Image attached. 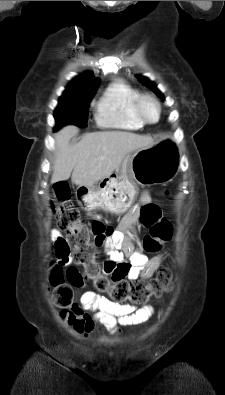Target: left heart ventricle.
<instances>
[{
  "label": "left heart ventricle",
  "mask_w": 225,
  "mask_h": 395,
  "mask_svg": "<svg viewBox=\"0 0 225 395\" xmlns=\"http://www.w3.org/2000/svg\"><path fill=\"white\" fill-rule=\"evenodd\" d=\"M144 113H145L146 117L151 120H154L157 116L156 109H155L154 105L150 102H146L144 104Z\"/></svg>",
  "instance_id": "1"
}]
</instances>
